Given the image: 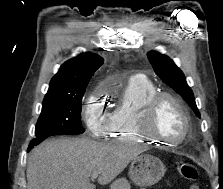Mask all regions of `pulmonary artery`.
<instances>
[{"label": "pulmonary artery", "instance_id": "obj_1", "mask_svg": "<svg viewBox=\"0 0 223 189\" xmlns=\"http://www.w3.org/2000/svg\"><path fill=\"white\" fill-rule=\"evenodd\" d=\"M142 79H144V76L141 74L134 75L131 78V80H142Z\"/></svg>", "mask_w": 223, "mask_h": 189}]
</instances>
